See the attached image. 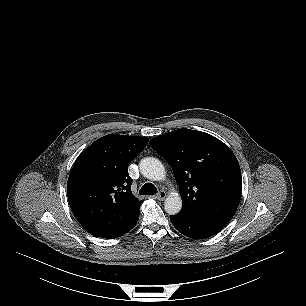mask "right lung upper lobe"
Instances as JSON below:
<instances>
[{"mask_svg": "<svg viewBox=\"0 0 306 306\" xmlns=\"http://www.w3.org/2000/svg\"><path fill=\"white\" fill-rule=\"evenodd\" d=\"M149 139L111 134L77 158L67 183L71 209L84 229L96 237L125 234L139 216L141 201L131 192L128 165Z\"/></svg>", "mask_w": 306, "mask_h": 306, "instance_id": "1", "label": "right lung upper lobe"}]
</instances>
